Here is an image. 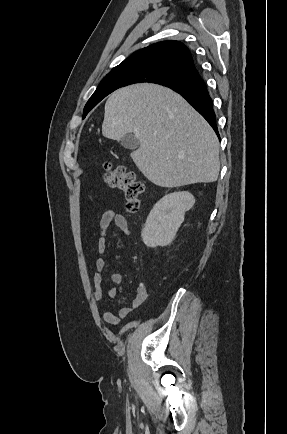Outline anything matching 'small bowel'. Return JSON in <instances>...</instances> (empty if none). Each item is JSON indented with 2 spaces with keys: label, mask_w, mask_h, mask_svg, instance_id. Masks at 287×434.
I'll use <instances>...</instances> for the list:
<instances>
[{
  "label": "small bowel",
  "mask_w": 287,
  "mask_h": 434,
  "mask_svg": "<svg viewBox=\"0 0 287 434\" xmlns=\"http://www.w3.org/2000/svg\"><path fill=\"white\" fill-rule=\"evenodd\" d=\"M112 225H115L124 234H130L128 220L123 214L116 213L115 211L109 209L106 210L100 217L99 227L101 231V237L96 245L97 252L100 254V256L95 261L96 271L93 275L94 298L99 303L104 301L103 271L106 267V261L102 254L106 249V236ZM110 281L114 285L120 284L123 281L122 273L112 272L110 274ZM107 293L109 297H115L117 295L116 287H109ZM147 296L148 294L145 284L142 282L138 283L132 304L130 306L122 307L118 314H115L106 307H103L104 320L112 326H117L121 322V319L128 317L133 311L142 306L147 300Z\"/></svg>",
  "instance_id": "small-bowel-1"
}]
</instances>
